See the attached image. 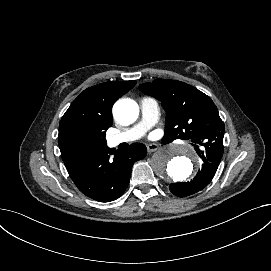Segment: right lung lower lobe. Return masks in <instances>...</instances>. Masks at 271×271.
<instances>
[{
	"instance_id": "98d812e1",
	"label": "right lung lower lobe",
	"mask_w": 271,
	"mask_h": 271,
	"mask_svg": "<svg viewBox=\"0 0 271 271\" xmlns=\"http://www.w3.org/2000/svg\"><path fill=\"white\" fill-rule=\"evenodd\" d=\"M146 154V147L140 143H134L122 152L105 146L94 155L84 156L66 168L84 195L98 202H110L124 193L133 164ZM110 155H114L113 159H110Z\"/></svg>"
}]
</instances>
